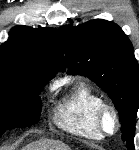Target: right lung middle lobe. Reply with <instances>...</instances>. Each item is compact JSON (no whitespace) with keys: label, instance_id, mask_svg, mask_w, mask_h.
Here are the masks:
<instances>
[{"label":"right lung middle lobe","instance_id":"right-lung-middle-lobe-1","mask_svg":"<svg viewBox=\"0 0 139 150\" xmlns=\"http://www.w3.org/2000/svg\"><path fill=\"white\" fill-rule=\"evenodd\" d=\"M44 85L45 82L29 74L0 71V135L7 129L38 122L39 94Z\"/></svg>","mask_w":139,"mask_h":150}]
</instances>
